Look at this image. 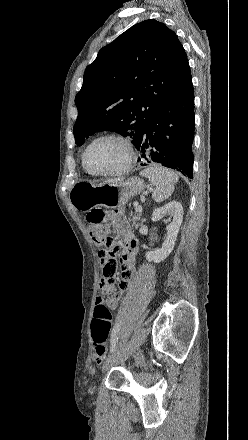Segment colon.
Instances as JSON below:
<instances>
[{
    "label": "colon",
    "mask_w": 248,
    "mask_h": 440,
    "mask_svg": "<svg viewBox=\"0 0 248 440\" xmlns=\"http://www.w3.org/2000/svg\"><path fill=\"white\" fill-rule=\"evenodd\" d=\"M105 217L106 212L100 208L92 209L86 214V220L91 225L90 234L95 244L102 248L99 252L101 260L106 257L118 258L121 249V244L110 234ZM111 326L112 314L109 308L97 300L91 330L95 343V357L98 362H101L106 355L105 343Z\"/></svg>",
    "instance_id": "colon-1"
}]
</instances>
